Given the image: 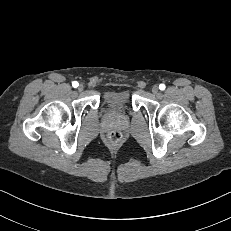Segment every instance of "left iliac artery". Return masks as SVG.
<instances>
[{
	"label": "left iliac artery",
	"mask_w": 231,
	"mask_h": 231,
	"mask_svg": "<svg viewBox=\"0 0 231 231\" xmlns=\"http://www.w3.org/2000/svg\"><path fill=\"white\" fill-rule=\"evenodd\" d=\"M159 89H160V90H164V89H165V85H164V84H160V85H159Z\"/></svg>",
	"instance_id": "obj_1"
}]
</instances>
